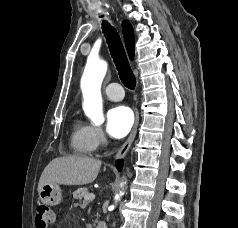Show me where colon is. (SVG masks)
I'll use <instances>...</instances> for the list:
<instances>
[{
  "label": "colon",
  "instance_id": "1",
  "mask_svg": "<svg viewBox=\"0 0 238 228\" xmlns=\"http://www.w3.org/2000/svg\"><path fill=\"white\" fill-rule=\"evenodd\" d=\"M56 218L55 211L47 206L40 205L35 211L36 228H51Z\"/></svg>",
  "mask_w": 238,
  "mask_h": 228
}]
</instances>
